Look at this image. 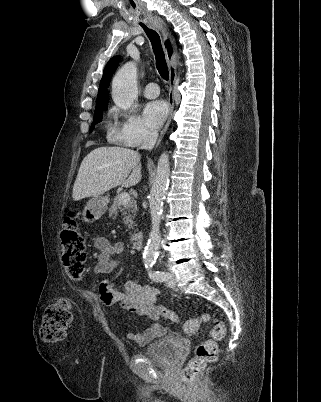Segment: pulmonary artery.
I'll return each instance as SVG.
<instances>
[{"label": "pulmonary artery", "instance_id": "1", "mask_svg": "<svg viewBox=\"0 0 321 402\" xmlns=\"http://www.w3.org/2000/svg\"><path fill=\"white\" fill-rule=\"evenodd\" d=\"M144 96L147 98H156L160 94V89L156 83H148L143 90Z\"/></svg>", "mask_w": 321, "mask_h": 402}]
</instances>
